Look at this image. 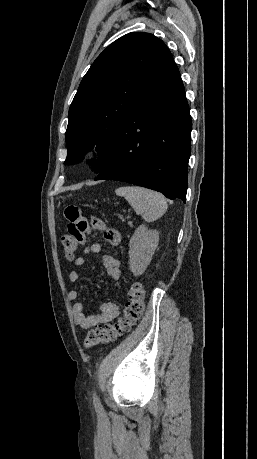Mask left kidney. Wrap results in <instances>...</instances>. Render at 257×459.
<instances>
[{
  "label": "left kidney",
  "mask_w": 257,
  "mask_h": 459,
  "mask_svg": "<svg viewBox=\"0 0 257 459\" xmlns=\"http://www.w3.org/2000/svg\"><path fill=\"white\" fill-rule=\"evenodd\" d=\"M159 232L139 226L129 242V267L134 276L142 275L158 246Z\"/></svg>",
  "instance_id": "5707ae66"
}]
</instances>
